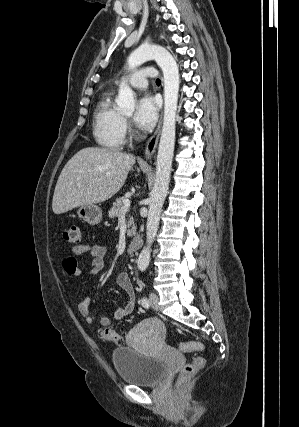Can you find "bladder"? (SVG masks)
Masks as SVG:
<instances>
[{
	"label": "bladder",
	"mask_w": 299,
	"mask_h": 427,
	"mask_svg": "<svg viewBox=\"0 0 299 427\" xmlns=\"http://www.w3.org/2000/svg\"><path fill=\"white\" fill-rule=\"evenodd\" d=\"M112 361L119 378L137 386L157 385L167 372L162 360L144 355L132 347L114 349Z\"/></svg>",
	"instance_id": "1"
}]
</instances>
